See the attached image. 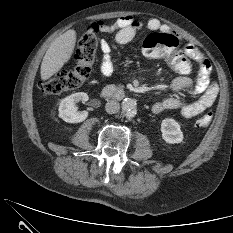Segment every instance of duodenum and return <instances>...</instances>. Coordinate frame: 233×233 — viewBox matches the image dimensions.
I'll return each instance as SVG.
<instances>
[{
  "instance_id": "obj_1",
  "label": "duodenum",
  "mask_w": 233,
  "mask_h": 233,
  "mask_svg": "<svg viewBox=\"0 0 233 233\" xmlns=\"http://www.w3.org/2000/svg\"><path fill=\"white\" fill-rule=\"evenodd\" d=\"M101 96L106 99L123 97L124 90L116 86H107L102 89Z\"/></svg>"
}]
</instances>
